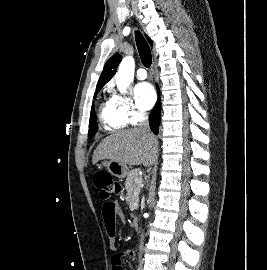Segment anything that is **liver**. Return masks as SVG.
<instances>
[{
    "label": "liver",
    "instance_id": "obj_1",
    "mask_svg": "<svg viewBox=\"0 0 267 270\" xmlns=\"http://www.w3.org/2000/svg\"><path fill=\"white\" fill-rule=\"evenodd\" d=\"M157 138L141 129L117 131L104 138L93 153L92 163L108 159L124 165H153L157 157Z\"/></svg>",
    "mask_w": 267,
    "mask_h": 270
}]
</instances>
